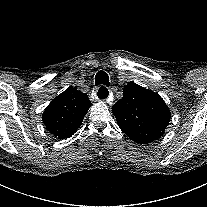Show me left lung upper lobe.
<instances>
[{
  "instance_id": "left-lung-upper-lobe-1",
  "label": "left lung upper lobe",
  "mask_w": 207,
  "mask_h": 207,
  "mask_svg": "<svg viewBox=\"0 0 207 207\" xmlns=\"http://www.w3.org/2000/svg\"><path fill=\"white\" fill-rule=\"evenodd\" d=\"M120 129L136 143L157 140L167 127L171 113L155 92L130 82L123 97L112 106Z\"/></svg>"
}]
</instances>
